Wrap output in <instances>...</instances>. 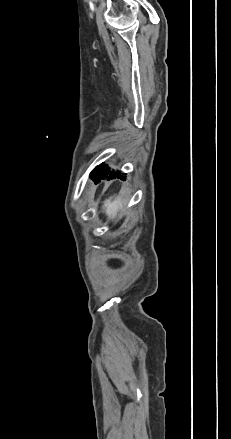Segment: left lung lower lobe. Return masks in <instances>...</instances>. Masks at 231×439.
<instances>
[{
	"label": "left lung lower lobe",
	"mask_w": 231,
	"mask_h": 439,
	"mask_svg": "<svg viewBox=\"0 0 231 439\" xmlns=\"http://www.w3.org/2000/svg\"><path fill=\"white\" fill-rule=\"evenodd\" d=\"M124 175L126 174L121 173L120 171H110V168L108 166H104V164L102 163L101 165H98L94 168V170L90 173V178L93 179L95 182H98L103 177L107 176H109V179L121 178L122 180H125L126 177Z\"/></svg>",
	"instance_id": "0a47b994"
}]
</instances>
